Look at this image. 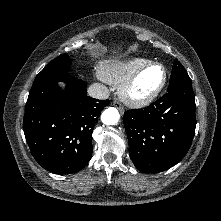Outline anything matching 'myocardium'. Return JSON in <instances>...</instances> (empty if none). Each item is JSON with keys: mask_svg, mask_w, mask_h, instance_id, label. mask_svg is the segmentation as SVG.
<instances>
[{"mask_svg": "<svg viewBox=\"0 0 221 221\" xmlns=\"http://www.w3.org/2000/svg\"><path fill=\"white\" fill-rule=\"evenodd\" d=\"M152 67H160L162 69V80L159 85L150 91L140 92L137 90V84L142 75ZM168 79L167 70L161 63L149 62L145 66L135 71L131 77L123 83L120 91L121 99L131 106H145L152 103L163 91Z\"/></svg>", "mask_w": 221, "mask_h": 221, "instance_id": "f54148a6", "label": "myocardium"}]
</instances>
